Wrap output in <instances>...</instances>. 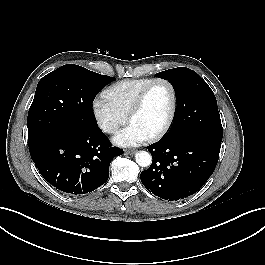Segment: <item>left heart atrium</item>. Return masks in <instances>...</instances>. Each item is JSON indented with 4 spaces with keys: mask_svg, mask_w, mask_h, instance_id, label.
Returning a JSON list of instances; mask_svg holds the SVG:
<instances>
[{
    "mask_svg": "<svg viewBox=\"0 0 265 265\" xmlns=\"http://www.w3.org/2000/svg\"><path fill=\"white\" fill-rule=\"evenodd\" d=\"M149 136L134 124L119 131L113 138V142L121 147H133L147 141Z\"/></svg>",
    "mask_w": 265,
    "mask_h": 265,
    "instance_id": "1",
    "label": "left heart atrium"
}]
</instances>
